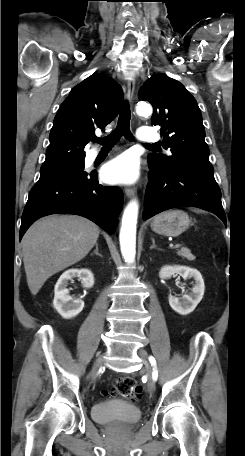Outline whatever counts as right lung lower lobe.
Listing matches in <instances>:
<instances>
[{
  "instance_id": "right-lung-lower-lobe-1",
  "label": "right lung lower lobe",
  "mask_w": 245,
  "mask_h": 456,
  "mask_svg": "<svg viewBox=\"0 0 245 456\" xmlns=\"http://www.w3.org/2000/svg\"><path fill=\"white\" fill-rule=\"evenodd\" d=\"M122 204V190L100 185L95 172L39 180L29 193L19 239L38 218L57 213L81 215L112 234Z\"/></svg>"
}]
</instances>
